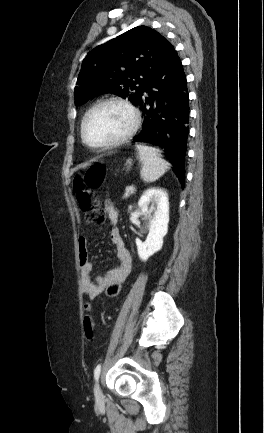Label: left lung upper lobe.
<instances>
[{
    "label": "left lung upper lobe",
    "mask_w": 264,
    "mask_h": 433,
    "mask_svg": "<svg viewBox=\"0 0 264 433\" xmlns=\"http://www.w3.org/2000/svg\"><path fill=\"white\" fill-rule=\"evenodd\" d=\"M173 50L164 36L146 26L135 27L96 47L82 63L75 104L104 93L137 104Z\"/></svg>",
    "instance_id": "5c2ea615"
}]
</instances>
